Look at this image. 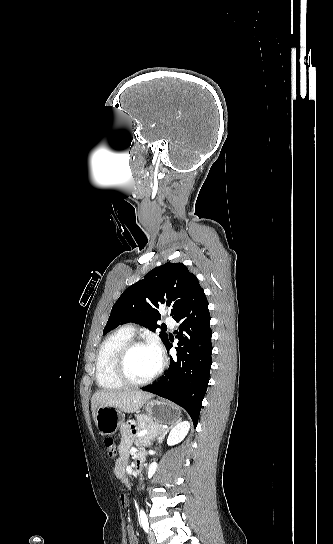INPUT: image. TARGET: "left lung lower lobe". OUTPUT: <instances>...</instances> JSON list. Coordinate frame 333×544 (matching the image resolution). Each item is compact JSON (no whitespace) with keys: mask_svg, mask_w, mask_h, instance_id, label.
I'll return each mask as SVG.
<instances>
[{"mask_svg":"<svg viewBox=\"0 0 333 544\" xmlns=\"http://www.w3.org/2000/svg\"><path fill=\"white\" fill-rule=\"evenodd\" d=\"M174 320L179 322L176 357L170 358L165 376L156 384L142 388L183 407L197 426L212 364L210 313L204 292ZM170 338L165 346L169 350Z\"/></svg>","mask_w":333,"mask_h":544,"instance_id":"1","label":"left lung lower lobe"}]
</instances>
